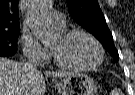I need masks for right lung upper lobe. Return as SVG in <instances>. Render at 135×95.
I'll list each match as a JSON object with an SVG mask.
<instances>
[{"label": "right lung upper lobe", "mask_w": 135, "mask_h": 95, "mask_svg": "<svg viewBox=\"0 0 135 95\" xmlns=\"http://www.w3.org/2000/svg\"><path fill=\"white\" fill-rule=\"evenodd\" d=\"M20 30L18 0H0V32Z\"/></svg>", "instance_id": "cb5924a9"}]
</instances>
